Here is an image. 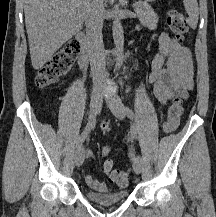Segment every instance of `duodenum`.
<instances>
[{
  "label": "duodenum",
  "instance_id": "duodenum-1",
  "mask_svg": "<svg viewBox=\"0 0 216 217\" xmlns=\"http://www.w3.org/2000/svg\"><path fill=\"white\" fill-rule=\"evenodd\" d=\"M76 39L80 45V51H79V56H78L79 64L81 67H84L89 57L88 44L86 41V37L83 33H78L76 36Z\"/></svg>",
  "mask_w": 216,
  "mask_h": 217
}]
</instances>
